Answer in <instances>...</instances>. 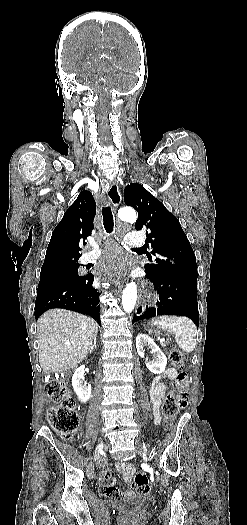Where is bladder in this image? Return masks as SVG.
Listing matches in <instances>:
<instances>
[{"mask_svg":"<svg viewBox=\"0 0 247 525\" xmlns=\"http://www.w3.org/2000/svg\"><path fill=\"white\" fill-rule=\"evenodd\" d=\"M150 505V500L146 496L136 495L132 499H122L117 501L113 507L121 513H131L136 510H141Z\"/></svg>","mask_w":247,"mask_h":525,"instance_id":"31cf9c89","label":"bladder"}]
</instances>
